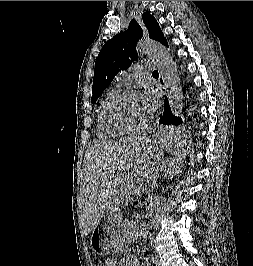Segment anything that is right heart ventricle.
Instances as JSON below:
<instances>
[{
  "mask_svg": "<svg viewBox=\"0 0 253 266\" xmlns=\"http://www.w3.org/2000/svg\"><path fill=\"white\" fill-rule=\"evenodd\" d=\"M121 91V85L117 84L107 91L104 98L101 100L96 115V135L99 139H111L120 135L115 131L108 129L104 124V111L110 100Z\"/></svg>",
  "mask_w": 253,
  "mask_h": 266,
  "instance_id": "obj_1",
  "label": "right heart ventricle"
}]
</instances>
